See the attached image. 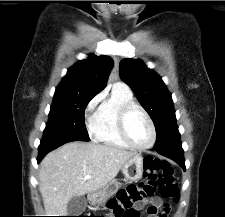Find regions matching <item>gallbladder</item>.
<instances>
[{
	"mask_svg": "<svg viewBox=\"0 0 225 217\" xmlns=\"http://www.w3.org/2000/svg\"><path fill=\"white\" fill-rule=\"evenodd\" d=\"M87 206V200L84 196H74L67 204L68 216H79L84 212Z\"/></svg>",
	"mask_w": 225,
	"mask_h": 217,
	"instance_id": "bac80fb5",
	"label": "gallbladder"
}]
</instances>
